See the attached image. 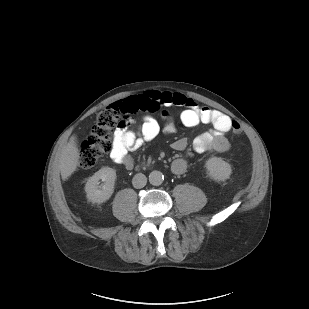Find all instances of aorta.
<instances>
[{"label": "aorta", "mask_w": 309, "mask_h": 309, "mask_svg": "<svg viewBox=\"0 0 309 309\" xmlns=\"http://www.w3.org/2000/svg\"><path fill=\"white\" fill-rule=\"evenodd\" d=\"M164 180L162 172L154 170L149 174V182L152 185L158 186L161 185Z\"/></svg>", "instance_id": "obj_1"}]
</instances>
